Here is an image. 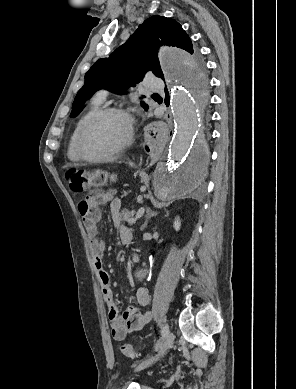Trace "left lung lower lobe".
I'll return each instance as SVG.
<instances>
[{"mask_svg":"<svg viewBox=\"0 0 296 389\" xmlns=\"http://www.w3.org/2000/svg\"><path fill=\"white\" fill-rule=\"evenodd\" d=\"M165 93H166V100H165V103H166V105L168 106L169 105V94H168V91H167V89H165ZM200 168V167H199ZM199 168H195V169H191V170H189L190 172H192V171H197ZM190 178V177H189ZM192 186H193V184H192Z\"/></svg>","mask_w":296,"mask_h":389,"instance_id":"1","label":"left lung lower lobe"}]
</instances>
